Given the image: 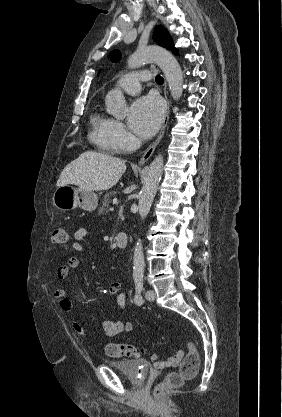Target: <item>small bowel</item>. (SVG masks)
Segmentation results:
<instances>
[{
    "label": "small bowel",
    "mask_w": 282,
    "mask_h": 417,
    "mask_svg": "<svg viewBox=\"0 0 282 417\" xmlns=\"http://www.w3.org/2000/svg\"><path fill=\"white\" fill-rule=\"evenodd\" d=\"M89 236V230L85 227L79 228L75 234V242L73 244V250L77 253L84 251V242ZM80 264L78 257H70L67 262L63 265H60L56 270V275L60 280L65 279L69 272L72 269H76ZM109 294L112 297L116 298V303L119 308H125L127 305L126 294L123 291V286L121 282H113L109 288ZM53 297L58 300L61 309L64 312H71L73 310V305L71 301L67 298V292L63 288H57L53 292ZM73 330L81 338H85L86 327L79 320H72L71 322ZM132 330V325L130 322L119 320V319H107L101 322L100 325V335L103 337H114L120 333L126 331L130 332ZM114 344V343H109Z\"/></svg>",
    "instance_id": "1"
}]
</instances>
